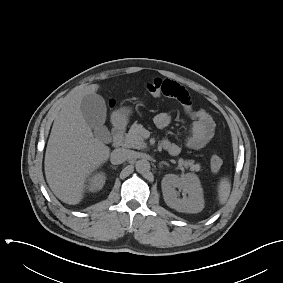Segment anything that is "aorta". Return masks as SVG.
I'll use <instances>...</instances> for the list:
<instances>
[{"instance_id": "obj_1", "label": "aorta", "mask_w": 283, "mask_h": 283, "mask_svg": "<svg viewBox=\"0 0 283 283\" xmlns=\"http://www.w3.org/2000/svg\"><path fill=\"white\" fill-rule=\"evenodd\" d=\"M135 168L138 173H146L150 170V163L145 159H141L136 162Z\"/></svg>"}]
</instances>
